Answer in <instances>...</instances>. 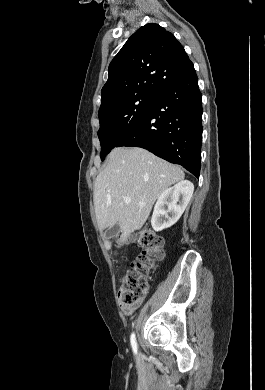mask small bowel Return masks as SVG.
Wrapping results in <instances>:
<instances>
[{
  "label": "small bowel",
  "mask_w": 265,
  "mask_h": 390,
  "mask_svg": "<svg viewBox=\"0 0 265 390\" xmlns=\"http://www.w3.org/2000/svg\"><path fill=\"white\" fill-rule=\"evenodd\" d=\"M142 301H139L133 305H130V306H124V305H121V310L126 314V315H130L132 314L135 310L138 309V307L141 305Z\"/></svg>",
  "instance_id": "c3829d8e"
}]
</instances>
